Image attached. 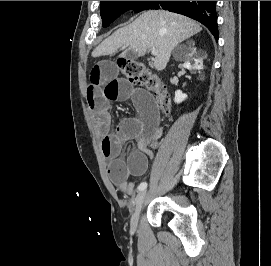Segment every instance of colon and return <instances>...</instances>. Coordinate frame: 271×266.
Returning a JSON list of instances; mask_svg holds the SVG:
<instances>
[{
    "instance_id": "5ec220e1",
    "label": "colon",
    "mask_w": 271,
    "mask_h": 266,
    "mask_svg": "<svg viewBox=\"0 0 271 266\" xmlns=\"http://www.w3.org/2000/svg\"><path fill=\"white\" fill-rule=\"evenodd\" d=\"M120 72L133 83H137L154 95L156 106L164 113L170 111V97L160 78L140 61L120 58L117 60Z\"/></svg>"
}]
</instances>
